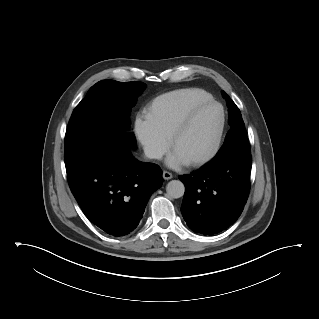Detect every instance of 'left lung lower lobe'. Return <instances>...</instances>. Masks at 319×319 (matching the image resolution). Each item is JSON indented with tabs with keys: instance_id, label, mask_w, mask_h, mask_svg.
<instances>
[{
	"instance_id": "0a47b994",
	"label": "left lung lower lobe",
	"mask_w": 319,
	"mask_h": 319,
	"mask_svg": "<svg viewBox=\"0 0 319 319\" xmlns=\"http://www.w3.org/2000/svg\"><path fill=\"white\" fill-rule=\"evenodd\" d=\"M251 152H232L179 179L185 185L181 212L187 225L204 235L232 225L250 190Z\"/></svg>"
}]
</instances>
